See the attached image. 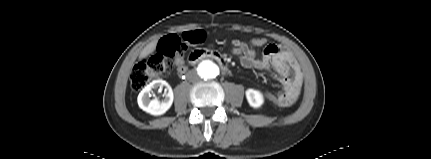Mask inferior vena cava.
<instances>
[{
	"mask_svg": "<svg viewBox=\"0 0 431 159\" xmlns=\"http://www.w3.org/2000/svg\"><path fill=\"white\" fill-rule=\"evenodd\" d=\"M189 78L191 80H196V79H198V76L194 72H191V73H189Z\"/></svg>",
	"mask_w": 431,
	"mask_h": 159,
	"instance_id": "obj_1",
	"label": "inferior vena cava"
}]
</instances>
